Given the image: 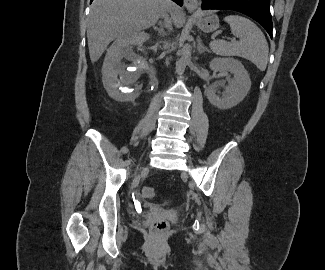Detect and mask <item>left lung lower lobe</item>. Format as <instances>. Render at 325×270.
I'll return each mask as SVG.
<instances>
[{
  "instance_id": "0a47b994",
  "label": "left lung lower lobe",
  "mask_w": 325,
  "mask_h": 270,
  "mask_svg": "<svg viewBox=\"0 0 325 270\" xmlns=\"http://www.w3.org/2000/svg\"><path fill=\"white\" fill-rule=\"evenodd\" d=\"M202 9H228L241 12L260 23L272 38L270 0H202Z\"/></svg>"
}]
</instances>
